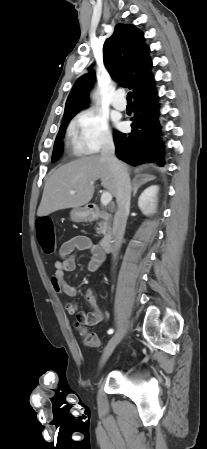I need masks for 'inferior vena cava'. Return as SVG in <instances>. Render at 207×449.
I'll return each instance as SVG.
<instances>
[{"mask_svg": "<svg viewBox=\"0 0 207 449\" xmlns=\"http://www.w3.org/2000/svg\"><path fill=\"white\" fill-rule=\"evenodd\" d=\"M101 158L110 166L116 181V202L118 208L113 222V257L116 258L122 244L129 214L131 183L127 168L115 156V145L112 138L105 139L101 149Z\"/></svg>", "mask_w": 207, "mask_h": 449, "instance_id": "obj_1", "label": "inferior vena cava"}]
</instances>
